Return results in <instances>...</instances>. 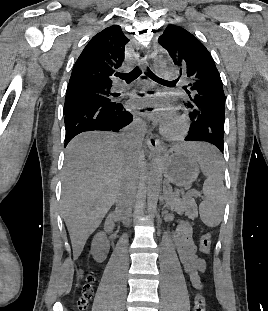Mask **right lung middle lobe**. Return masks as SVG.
I'll use <instances>...</instances> for the list:
<instances>
[{"label": "right lung middle lobe", "instance_id": "obj_1", "mask_svg": "<svg viewBox=\"0 0 268 311\" xmlns=\"http://www.w3.org/2000/svg\"><path fill=\"white\" fill-rule=\"evenodd\" d=\"M110 88L91 85H77L67 88L64 111L70 104H93L109 107L114 104L110 99Z\"/></svg>", "mask_w": 268, "mask_h": 311}]
</instances>
